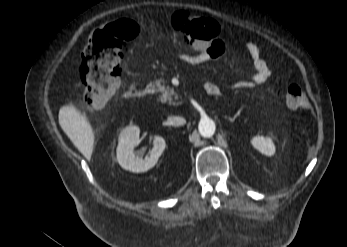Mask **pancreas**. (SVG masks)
Instances as JSON below:
<instances>
[{
  "label": "pancreas",
  "mask_w": 347,
  "mask_h": 247,
  "mask_svg": "<svg viewBox=\"0 0 347 247\" xmlns=\"http://www.w3.org/2000/svg\"><path fill=\"white\" fill-rule=\"evenodd\" d=\"M153 88H154V90L156 92H160L161 93L159 99H160V101L162 103L168 102L169 104H173V105H179V104L182 103L181 101L175 102L173 100V98L175 100H177L178 99V95L176 94V92L174 91L173 88H170L169 86L166 87L164 84H162L161 80H156L153 83Z\"/></svg>",
  "instance_id": "1"
}]
</instances>
